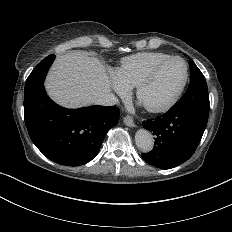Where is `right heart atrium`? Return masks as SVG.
I'll return each mask as SVG.
<instances>
[{"label": "right heart atrium", "mask_w": 232, "mask_h": 232, "mask_svg": "<svg viewBox=\"0 0 232 232\" xmlns=\"http://www.w3.org/2000/svg\"><path fill=\"white\" fill-rule=\"evenodd\" d=\"M108 74L110 76V79L112 81L113 84V91H117L122 93L125 89L124 87L119 83V81L116 79L115 76V69L108 67Z\"/></svg>", "instance_id": "right-heart-atrium-1"}]
</instances>
